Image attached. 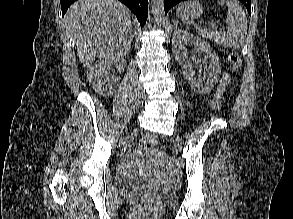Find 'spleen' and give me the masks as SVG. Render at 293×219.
Segmentation results:
<instances>
[{
  "label": "spleen",
  "mask_w": 293,
  "mask_h": 219,
  "mask_svg": "<svg viewBox=\"0 0 293 219\" xmlns=\"http://www.w3.org/2000/svg\"><path fill=\"white\" fill-rule=\"evenodd\" d=\"M228 7V15L226 18V31H210L198 28L199 34L214 40L218 45L226 48L240 49L244 44V38L247 33V18L242 7L236 0H218L219 5L225 4Z\"/></svg>",
  "instance_id": "obj_1"
}]
</instances>
